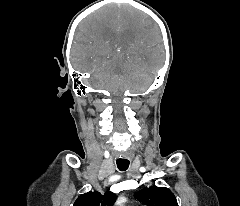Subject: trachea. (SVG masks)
<instances>
[{
    "mask_svg": "<svg viewBox=\"0 0 240 206\" xmlns=\"http://www.w3.org/2000/svg\"><path fill=\"white\" fill-rule=\"evenodd\" d=\"M116 163L119 170L125 171L128 169L130 162L127 159H118Z\"/></svg>",
    "mask_w": 240,
    "mask_h": 206,
    "instance_id": "obj_1",
    "label": "trachea"
}]
</instances>
